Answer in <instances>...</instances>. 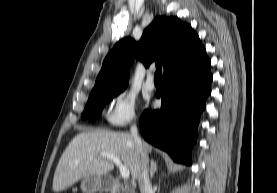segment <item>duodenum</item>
<instances>
[{
  "label": "duodenum",
  "instance_id": "1",
  "mask_svg": "<svg viewBox=\"0 0 277 193\" xmlns=\"http://www.w3.org/2000/svg\"><path fill=\"white\" fill-rule=\"evenodd\" d=\"M103 187L111 192H115L118 189V184L115 180H107L103 183Z\"/></svg>",
  "mask_w": 277,
  "mask_h": 193
}]
</instances>
